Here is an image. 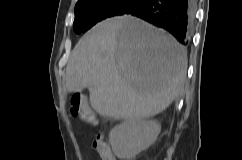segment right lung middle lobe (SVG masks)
<instances>
[{
	"instance_id": "dd1d6c3e",
	"label": "right lung middle lobe",
	"mask_w": 242,
	"mask_h": 160,
	"mask_svg": "<svg viewBox=\"0 0 242 160\" xmlns=\"http://www.w3.org/2000/svg\"><path fill=\"white\" fill-rule=\"evenodd\" d=\"M142 0H82L76 4L73 24L76 33L85 32L97 22L123 15Z\"/></svg>"
}]
</instances>
